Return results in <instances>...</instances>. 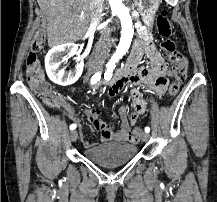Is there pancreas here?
Masks as SVG:
<instances>
[{
  "label": "pancreas",
  "mask_w": 217,
  "mask_h": 202,
  "mask_svg": "<svg viewBox=\"0 0 217 202\" xmlns=\"http://www.w3.org/2000/svg\"><path fill=\"white\" fill-rule=\"evenodd\" d=\"M138 34L141 35L143 41H153V33H148L146 30H139Z\"/></svg>",
  "instance_id": "obj_1"
}]
</instances>
